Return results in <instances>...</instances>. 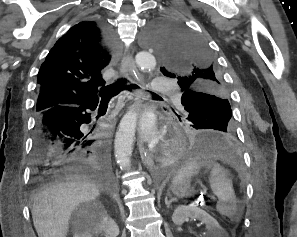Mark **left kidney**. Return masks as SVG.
Returning <instances> with one entry per match:
<instances>
[{
	"mask_svg": "<svg viewBox=\"0 0 297 237\" xmlns=\"http://www.w3.org/2000/svg\"><path fill=\"white\" fill-rule=\"evenodd\" d=\"M189 218L200 220L205 224L207 229L205 237H223V229L217 220L194 204L178 206L172 215V221L176 225H182Z\"/></svg>",
	"mask_w": 297,
	"mask_h": 237,
	"instance_id": "obj_1",
	"label": "left kidney"
}]
</instances>
